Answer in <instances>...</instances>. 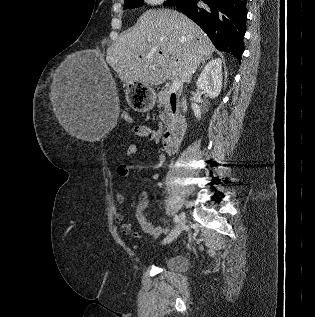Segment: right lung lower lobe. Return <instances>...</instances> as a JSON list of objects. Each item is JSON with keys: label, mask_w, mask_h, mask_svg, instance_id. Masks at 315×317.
Segmentation results:
<instances>
[{"label": "right lung lower lobe", "mask_w": 315, "mask_h": 317, "mask_svg": "<svg viewBox=\"0 0 315 317\" xmlns=\"http://www.w3.org/2000/svg\"><path fill=\"white\" fill-rule=\"evenodd\" d=\"M202 1L204 6H198ZM247 0H180L174 6L209 36L219 51L231 53L238 60L244 51Z\"/></svg>", "instance_id": "obj_1"}]
</instances>
